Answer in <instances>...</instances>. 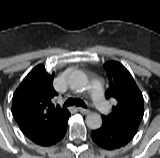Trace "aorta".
<instances>
[{
  "label": "aorta",
  "mask_w": 160,
  "mask_h": 158,
  "mask_svg": "<svg viewBox=\"0 0 160 158\" xmlns=\"http://www.w3.org/2000/svg\"><path fill=\"white\" fill-rule=\"evenodd\" d=\"M70 87L82 93L87 90L89 82L87 76L82 72H75L69 79ZM86 124L92 129L99 128L102 124V118L98 113H90L86 116Z\"/></svg>",
  "instance_id": "1"
}]
</instances>
